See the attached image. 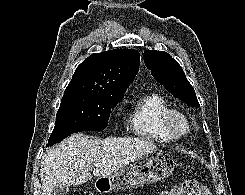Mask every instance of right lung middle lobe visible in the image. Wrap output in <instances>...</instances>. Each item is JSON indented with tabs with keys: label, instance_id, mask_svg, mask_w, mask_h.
Listing matches in <instances>:
<instances>
[{
	"label": "right lung middle lobe",
	"instance_id": "dd1d6c3e",
	"mask_svg": "<svg viewBox=\"0 0 245 195\" xmlns=\"http://www.w3.org/2000/svg\"><path fill=\"white\" fill-rule=\"evenodd\" d=\"M122 98L89 93L64 94L47 146L81 131L104 130L110 111Z\"/></svg>",
	"mask_w": 245,
	"mask_h": 195
}]
</instances>
